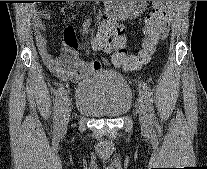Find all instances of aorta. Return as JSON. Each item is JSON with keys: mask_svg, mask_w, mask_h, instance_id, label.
Listing matches in <instances>:
<instances>
[{"mask_svg": "<svg viewBox=\"0 0 207 169\" xmlns=\"http://www.w3.org/2000/svg\"><path fill=\"white\" fill-rule=\"evenodd\" d=\"M132 1H109V9L111 12L126 13L130 9Z\"/></svg>", "mask_w": 207, "mask_h": 169, "instance_id": "762f6f07", "label": "aorta"}]
</instances>
